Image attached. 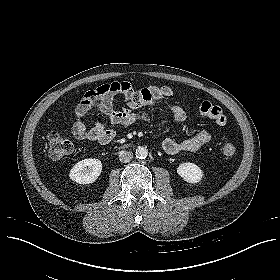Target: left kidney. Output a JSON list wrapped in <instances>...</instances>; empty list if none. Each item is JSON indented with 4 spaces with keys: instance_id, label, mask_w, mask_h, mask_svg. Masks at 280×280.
Segmentation results:
<instances>
[{
    "instance_id": "obj_1",
    "label": "left kidney",
    "mask_w": 280,
    "mask_h": 280,
    "mask_svg": "<svg viewBox=\"0 0 280 280\" xmlns=\"http://www.w3.org/2000/svg\"><path fill=\"white\" fill-rule=\"evenodd\" d=\"M177 173L188 183H198L203 178V171L194 163H181L177 168Z\"/></svg>"
}]
</instances>
